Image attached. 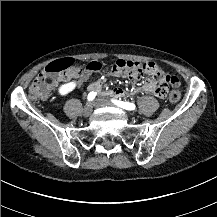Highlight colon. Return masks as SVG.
I'll list each match as a JSON object with an SVG mask.
<instances>
[{
    "label": "colon",
    "mask_w": 217,
    "mask_h": 217,
    "mask_svg": "<svg viewBox=\"0 0 217 217\" xmlns=\"http://www.w3.org/2000/svg\"><path fill=\"white\" fill-rule=\"evenodd\" d=\"M112 69L116 72L129 73H140L147 74L157 81L169 83L171 86H179V80L166 73L163 68L154 63H139L131 60H116L112 65ZM79 69V62L75 58H64L58 60L53 64L48 65L41 72V76L37 77L31 85L30 94L33 98L45 97L49 94L50 88L56 86L68 73H75ZM181 98V92L170 91L169 100L170 102L176 103Z\"/></svg>",
    "instance_id": "5ec220e1"
}]
</instances>
